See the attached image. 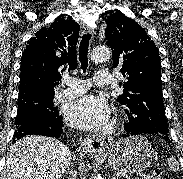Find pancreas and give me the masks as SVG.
Returning a JSON list of instances; mask_svg holds the SVG:
<instances>
[{"mask_svg": "<svg viewBox=\"0 0 183 179\" xmlns=\"http://www.w3.org/2000/svg\"><path fill=\"white\" fill-rule=\"evenodd\" d=\"M147 179H161V177H160V175L152 174V175L148 176Z\"/></svg>", "mask_w": 183, "mask_h": 179, "instance_id": "cf45deb5", "label": "pancreas"}]
</instances>
